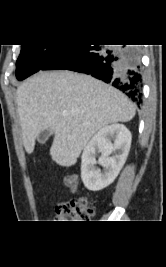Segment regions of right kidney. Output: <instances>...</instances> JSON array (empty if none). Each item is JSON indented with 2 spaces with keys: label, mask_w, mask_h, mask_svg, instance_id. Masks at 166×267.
<instances>
[{
  "label": "right kidney",
  "mask_w": 166,
  "mask_h": 267,
  "mask_svg": "<svg viewBox=\"0 0 166 267\" xmlns=\"http://www.w3.org/2000/svg\"><path fill=\"white\" fill-rule=\"evenodd\" d=\"M131 138L130 131L122 124L106 126L92 137L81 157V179L87 189L98 191L115 180L128 156ZM97 152L101 153L98 164L102 171L95 167ZM113 152L115 155L110 156Z\"/></svg>",
  "instance_id": "1"
}]
</instances>
